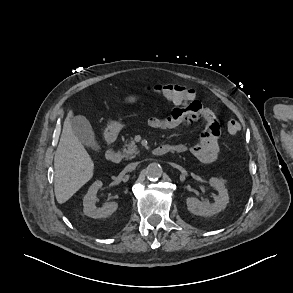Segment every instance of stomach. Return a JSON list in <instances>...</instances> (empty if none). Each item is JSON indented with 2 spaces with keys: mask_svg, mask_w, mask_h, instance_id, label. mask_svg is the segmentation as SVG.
Masks as SVG:
<instances>
[{
  "mask_svg": "<svg viewBox=\"0 0 293 293\" xmlns=\"http://www.w3.org/2000/svg\"><path fill=\"white\" fill-rule=\"evenodd\" d=\"M138 100V97L135 95H128L124 98V103L126 104H134ZM123 128V124L117 121L112 122L108 127L106 128L107 132L110 134H118Z\"/></svg>",
  "mask_w": 293,
  "mask_h": 293,
  "instance_id": "stomach-1",
  "label": "stomach"
}]
</instances>
